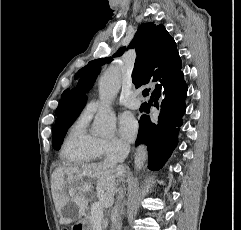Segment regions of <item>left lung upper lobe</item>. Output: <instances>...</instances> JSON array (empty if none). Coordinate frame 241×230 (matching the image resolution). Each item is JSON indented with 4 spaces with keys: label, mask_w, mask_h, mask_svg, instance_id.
<instances>
[{
    "label": "left lung upper lobe",
    "mask_w": 241,
    "mask_h": 230,
    "mask_svg": "<svg viewBox=\"0 0 241 230\" xmlns=\"http://www.w3.org/2000/svg\"><path fill=\"white\" fill-rule=\"evenodd\" d=\"M100 72V68L90 71L85 77L81 78L77 87L72 89L63 112L57 118L53 127V148L59 150L68 128L74 123L82 109L84 108L87 96L85 95L92 87Z\"/></svg>",
    "instance_id": "obj_1"
}]
</instances>
